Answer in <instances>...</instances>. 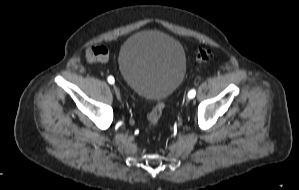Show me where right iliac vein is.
I'll list each match as a JSON object with an SVG mask.
<instances>
[{
	"instance_id": "63e3f726",
	"label": "right iliac vein",
	"mask_w": 299,
	"mask_h": 190,
	"mask_svg": "<svg viewBox=\"0 0 299 190\" xmlns=\"http://www.w3.org/2000/svg\"><path fill=\"white\" fill-rule=\"evenodd\" d=\"M113 88H114V91H115V93L117 95V98H120V90H119V88L116 85H113Z\"/></svg>"
}]
</instances>
